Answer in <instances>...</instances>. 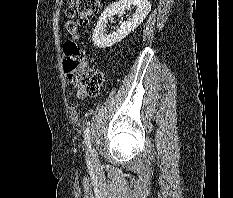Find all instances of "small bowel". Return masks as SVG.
Instances as JSON below:
<instances>
[{
	"label": "small bowel",
	"mask_w": 233,
	"mask_h": 198,
	"mask_svg": "<svg viewBox=\"0 0 233 198\" xmlns=\"http://www.w3.org/2000/svg\"><path fill=\"white\" fill-rule=\"evenodd\" d=\"M77 97H78L79 99H85V98H86V94H84V93H82V92H78V93H77Z\"/></svg>",
	"instance_id": "c3829d8e"
}]
</instances>
